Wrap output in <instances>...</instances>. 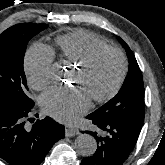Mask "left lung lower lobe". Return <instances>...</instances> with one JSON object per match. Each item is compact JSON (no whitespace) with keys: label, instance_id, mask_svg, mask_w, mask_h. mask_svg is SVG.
Listing matches in <instances>:
<instances>
[{"label":"left lung lower lobe","instance_id":"obj_1","mask_svg":"<svg viewBox=\"0 0 165 165\" xmlns=\"http://www.w3.org/2000/svg\"><path fill=\"white\" fill-rule=\"evenodd\" d=\"M87 118L94 125V131L83 132L95 137L97 150L93 156L83 159L81 165H122L134 149L142 127Z\"/></svg>","mask_w":165,"mask_h":165}]
</instances>
